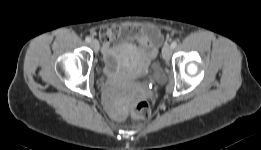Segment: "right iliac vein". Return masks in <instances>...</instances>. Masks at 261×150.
I'll use <instances>...</instances> for the list:
<instances>
[{
	"label": "right iliac vein",
	"instance_id": "1",
	"mask_svg": "<svg viewBox=\"0 0 261 150\" xmlns=\"http://www.w3.org/2000/svg\"><path fill=\"white\" fill-rule=\"evenodd\" d=\"M90 45H91V47H92L95 51H98V49H99V42H98V40L93 39V40L90 42Z\"/></svg>",
	"mask_w": 261,
	"mask_h": 150
}]
</instances>
